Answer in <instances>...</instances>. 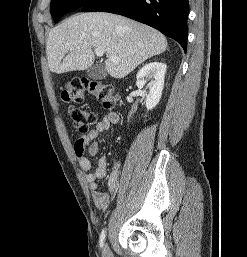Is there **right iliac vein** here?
<instances>
[{
	"mask_svg": "<svg viewBox=\"0 0 247 257\" xmlns=\"http://www.w3.org/2000/svg\"><path fill=\"white\" fill-rule=\"evenodd\" d=\"M102 257H113V254L108 246V244H104L103 246V254Z\"/></svg>",
	"mask_w": 247,
	"mask_h": 257,
	"instance_id": "right-iliac-vein-1",
	"label": "right iliac vein"
}]
</instances>
